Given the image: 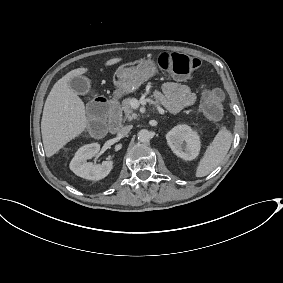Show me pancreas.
<instances>
[{
    "label": "pancreas",
    "instance_id": "1",
    "mask_svg": "<svg viewBox=\"0 0 283 283\" xmlns=\"http://www.w3.org/2000/svg\"><path fill=\"white\" fill-rule=\"evenodd\" d=\"M131 102V98H126L122 101L121 103V117H122V114L124 113V118L128 119V120H132V119H135L137 118V114L133 113V108L130 104ZM111 104H112V107L115 105V101L112 100L111 101Z\"/></svg>",
    "mask_w": 283,
    "mask_h": 283
}]
</instances>
